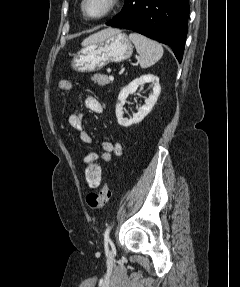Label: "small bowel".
Here are the masks:
<instances>
[{
    "instance_id": "small-bowel-1",
    "label": "small bowel",
    "mask_w": 240,
    "mask_h": 287,
    "mask_svg": "<svg viewBox=\"0 0 240 287\" xmlns=\"http://www.w3.org/2000/svg\"><path fill=\"white\" fill-rule=\"evenodd\" d=\"M85 107L93 113L103 112V104L98 97L89 96L85 99ZM69 125L79 131L80 140L85 144H91L92 138L84 128V116L81 112L72 113L68 116ZM123 154V146L119 142L104 141L102 143V152L99 158L104 162H111L115 156Z\"/></svg>"
}]
</instances>
